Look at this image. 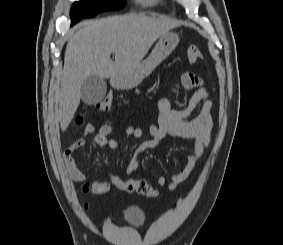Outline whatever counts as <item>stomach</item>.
Instances as JSON below:
<instances>
[{
    "label": "stomach",
    "instance_id": "stomach-1",
    "mask_svg": "<svg viewBox=\"0 0 283 245\" xmlns=\"http://www.w3.org/2000/svg\"><path fill=\"white\" fill-rule=\"evenodd\" d=\"M178 43L179 36L175 33H167L161 36L149 57L141 61L134 68L113 78L114 85L121 89L136 87L171 54Z\"/></svg>",
    "mask_w": 283,
    "mask_h": 245
}]
</instances>
